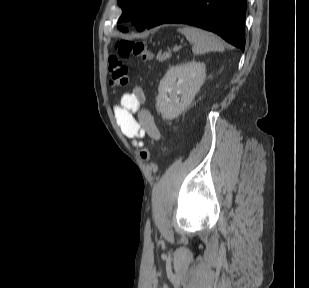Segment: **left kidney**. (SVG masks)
Instances as JSON below:
<instances>
[{
	"instance_id": "left-kidney-1",
	"label": "left kidney",
	"mask_w": 309,
	"mask_h": 288,
	"mask_svg": "<svg viewBox=\"0 0 309 288\" xmlns=\"http://www.w3.org/2000/svg\"><path fill=\"white\" fill-rule=\"evenodd\" d=\"M205 77L206 65L202 62L193 61L169 68L158 88L157 109L162 117L173 120L186 111Z\"/></svg>"
}]
</instances>
